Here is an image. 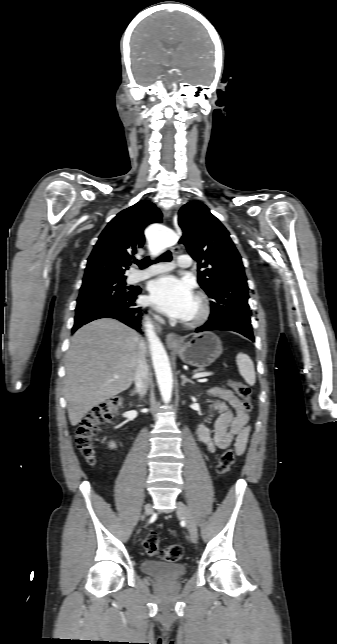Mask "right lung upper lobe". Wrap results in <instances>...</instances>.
Instances as JSON below:
<instances>
[{"mask_svg": "<svg viewBox=\"0 0 337 644\" xmlns=\"http://www.w3.org/2000/svg\"><path fill=\"white\" fill-rule=\"evenodd\" d=\"M161 221L160 210L147 201H139L118 213L100 234L88 258L83 281L126 277L125 270L144 245V229Z\"/></svg>", "mask_w": 337, "mask_h": 644, "instance_id": "right-lung-upper-lobe-1", "label": "right lung upper lobe"}]
</instances>
